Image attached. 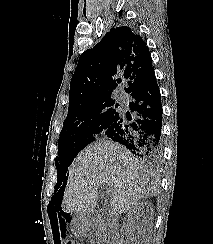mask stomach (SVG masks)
Wrapping results in <instances>:
<instances>
[{
	"label": "stomach",
	"instance_id": "0dacf381",
	"mask_svg": "<svg viewBox=\"0 0 213 244\" xmlns=\"http://www.w3.org/2000/svg\"><path fill=\"white\" fill-rule=\"evenodd\" d=\"M74 227H73V230L75 231L76 234H79L80 231H83L84 230V225H85V222L84 221H75L74 222Z\"/></svg>",
	"mask_w": 213,
	"mask_h": 244
}]
</instances>
